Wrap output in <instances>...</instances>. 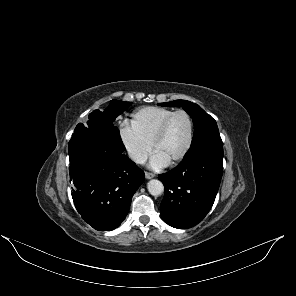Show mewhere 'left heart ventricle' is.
I'll list each match as a JSON object with an SVG mask.
<instances>
[{
    "label": "left heart ventricle",
    "mask_w": 296,
    "mask_h": 296,
    "mask_svg": "<svg viewBox=\"0 0 296 296\" xmlns=\"http://www.w3.org/2000/svg\"><path fill=\"white\" fill-rule=\"evenodd\" d=\"M188 136V119L185 115L178 114L169 123L164 137L157 144L154 152L169 163L183 151Z\"/></svg>",
    "instance_id": "b2bd125f"
}]
</instances>
